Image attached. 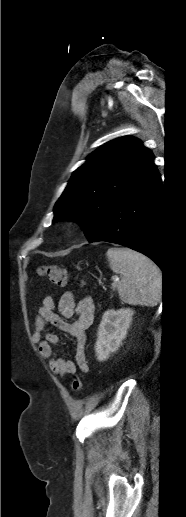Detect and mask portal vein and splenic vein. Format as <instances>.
<instances>
[{"label":"portal vein and splenic vein","mask_w":186,"mask_h":517,"mask_svg":"<svg viewBox=\"0 0 186 517\" xmlns=\"http://www.w3.org/2000/svg\"><path fill=\"white\" fill-rule=\"evenodd\" d=\"M113 281L117 282V281H119V278L118 277H113Z\"/></svg>","instance_id":"18ae733b"}]
</instances>
